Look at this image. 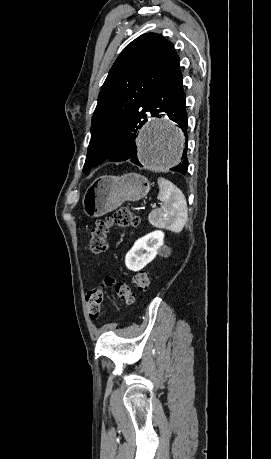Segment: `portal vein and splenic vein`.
Returning <instances> with one entry per match:
<instances>
[{
    "instance_id": "1",
    "label": "portal vein and splenic vein",
    "mask_w": 271,
    "mask_h": 459,
    "mask_svg": "<svg viewBox=\"0 0 271 459\" xmlns=\"http://www.w3.org/2000/svg\"><path fill=\"white\" fill-rule=\"evenodd\" d=\"M152 208H153V209L155 208V204H152Z\"/></svg>"
}]
</instances>
